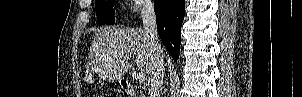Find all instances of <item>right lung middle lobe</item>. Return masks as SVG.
I'll return each instance as SVG.
<instances>
[{
  "mask_svg": "<svg viewBox=\"0 0 302 97\" xmlns=\"http://www.w3.org/2000/svg\"><path fill=\"white\" fill-rule=\"evenodd\" d=\"M116 0H95L96 14L101 24H114L113 6Z\"/></svg>",
  "mask_w": 302,
  "mask_h": 97,
  "instance_id": "dd1d6c3e",
  "label": "right lung middle lobe"
}]
</instances>
